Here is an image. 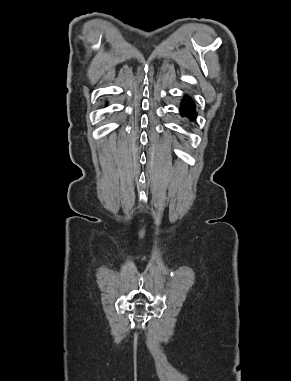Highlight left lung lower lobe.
Instances as JSON below:
<instances>
[{"label":"left lung lower lobe","instance_id":"0a47b994","mask_svg":"<svg viewBox=\"0 0 291 381\" xmlns=\"http://www.w3.org/2000/svg\"><path fill=\"white\" fill-rule=\"evenodd\" d=\"M180 112L182 116H187L190 119H195L196 117L195 105L190 99L183 101Z\"/></svg>","mask_w":291,"mask_h":381}]
</instances>
